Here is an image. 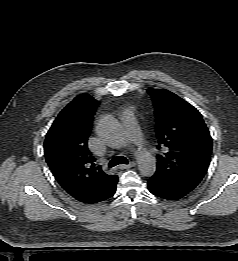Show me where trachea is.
Here are the masks:
<instances>
[{
    "instance_id": "obj_1",
    "label": "trachea",
    "mask_w": 238,
    "mask_h": 261,
    "mask_svg": "<svg viewBox=\"0 0 238 261\" xmlns=\"http://www.w3.org/2000/svg\"><path fill=\"white\" fill-rule=\"evenodd\" d=\"M119 164H128V160L126 157L123 156H117L114 157L110 162H109V167H114Z\"/></svg>"
}]
</instances>
